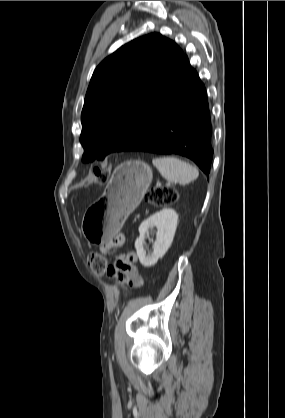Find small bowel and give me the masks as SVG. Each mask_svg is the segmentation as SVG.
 I'll use <instances>...</instances> for the list:
<instances>
[{
    "label": "small bowel",
    "instance_id": "c3829d8e",
    "mask_svg": "<svg viewBox=\"0 0 285 418\" xmlns=\"http://www.w3.org/2000/svg\"><path fill=\"white\" fill-rule=\"evenodd\" d=\"M122 236L114 237L108 245L102 247L104 251L114 249L121 245ZM136 261V254L130 253L119 258L117 264L109 266L107 274L116 279L120 284L139 288L143 285V278L137 269L133 266Z\"/></svg>",
    "mask_w": 285,
    "mask_h": 418
}]
</instances>
